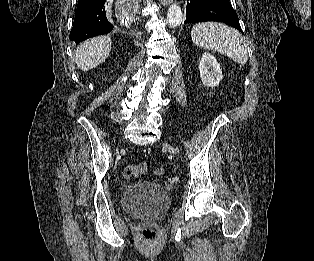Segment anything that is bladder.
Wrapping results in <instances>:
<instances>
[{"mask_svg":"<svg viewBox=\"0 0 314 261\" xmlns=\"http://www.w3.org/2000/svg\"><path fill=\"white\" fill-rule=\"evenodd\" d=\"M121 201L129 214L161 219L170 206L171 198L160 184L137 181L124 189Z\"/></svg>","mask_w":314,"mask_h":261,"instance_id":"bladder-1","label":"bladder"}]
</instances>
